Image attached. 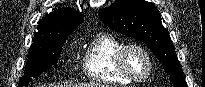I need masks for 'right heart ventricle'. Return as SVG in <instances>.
Returning <instances> with one entry per match:
<instances>
[{
    "mask_svg": "<svg viewBox=\"0 0 205 87\" xmlns=\"http://www.w3.org/2000/svg\"><path fill=\"white\" fill-rule=\"evenodd\" d=\"M118 37L109 33H99L86 45L82 65L86 76L101 84L128 85L131 83L120 74L115 64V56L123 45Z\"/></svg>",
    "mask_w": 205,
    "mask_h": 87,
    "instance_id": "right-heart-ventricle-1",
    "label": "right heart ventricle"
}]
</instances>
